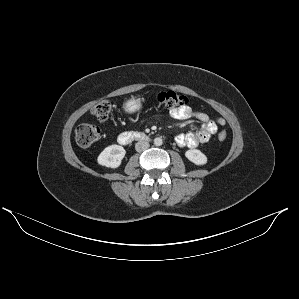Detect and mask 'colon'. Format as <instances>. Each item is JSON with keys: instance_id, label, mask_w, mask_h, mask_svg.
<instances>
[{"instance_id": "obj_1", "label": "colon", "mask_w": 299, "mask_h": 299, "mask_svg": "<svg viewBox=\"0 0 299 299\" xmlns=\"http://www.w3.org/2000/svg\"><path fill=\"white\" fill-rule=\"evenodd\" d=\"M158 106L162 109H173L182 107L186 104L187 99L184 95L171 90L158 91L153 94ZM92 115L104 121L108 119L111 112V103L109 100H101L92 108ZM100 137V130L97 126L89 123L79 125L75 130V139L78 145L87 147L95 143ZM227 138L226 132L218 134V139L224 141Z\"/></svg>"}]
</instances>
